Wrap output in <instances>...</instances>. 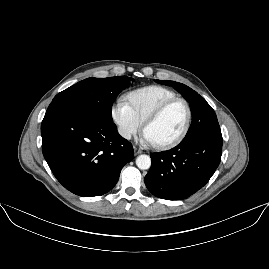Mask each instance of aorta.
<instances>
[{
	"label": "aorta",
	"instance_id": "762f6f07",
	"mask_svg": "<svg viewBox=\"0 0 269 269\" xmlns=\"http://www.w3.org/2000/svg\"><path fill=\"white\" fill-rule=\"evenodd\" d=\"M136 165L140 170H148L151 167V159L147 155H140L136 159Z\"/></svg>",
	"mask_w": 269,
	"mask_h": 269
}]
</instances>
